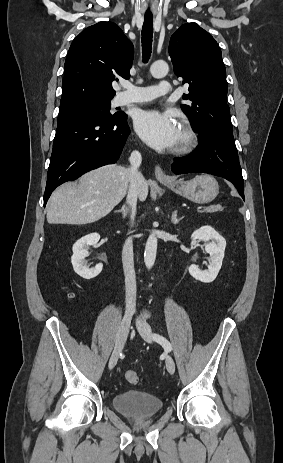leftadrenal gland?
<instances>
[{"label": "left adrenal gland", "mask_w": 283, "mask_h": 463, "mask_svg": "<svg viewBox=\"0 0 283 463\" xmlns=\"http://www.w3.org/2000/svg\"><path fill=\"white\" fill-rule=\"evenodd\" d=\"M184 217H181V218H177V211H174L172 212V215H171V222L175 225V224H178L179 221H181Z\"/></svg>", "instance_id": "obj_1"}]
</instances>
